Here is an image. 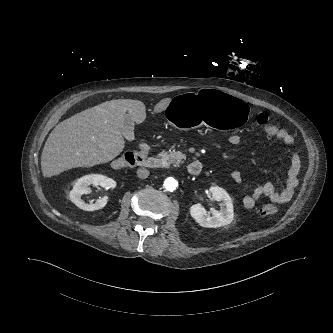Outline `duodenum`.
I'll return each mask as SVG.
<instances>
[{
  "instance_id": "duodenum-1",
  "label": "duodenum",
  "mask_w": 333,
  "mask_h": 333,
  "mask_svg": "<svg viewBox=\"0 0 333 333\" xmlns=\"http://www.w3.org/2000/svg\"><path fill=\"white\" fill-rule=\"evenodd\" d=\"M163 165L162 160L154 157L144 159L142 162V166L146 169H160ZM115 167H118L117 164H115ZM187 169L190 175L198 176L202 172V164L198 160H193L188 164Z\"/></svg>"
}]
</instances>
